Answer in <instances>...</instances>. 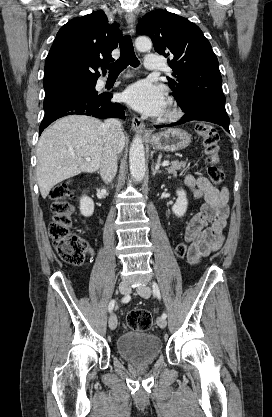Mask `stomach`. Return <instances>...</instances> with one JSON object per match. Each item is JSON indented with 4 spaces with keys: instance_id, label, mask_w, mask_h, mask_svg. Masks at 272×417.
Segmentation results:
<instances>
[{
    "instance_id": "obj_1",
    "label": "stomach",
    "mask_w": 272,
    "mask_h": 417,
    "mask_svg": "<svg viewBox=\"0 0 272 417\" xmlns=\"http://www.w3.org/2000/svg\"><path fill=\"white\" fill-rule=\"evenodd\" d=\"M149 142L156 150L175 152L186 148L191 142V136L183 129L169 128L152 135Z\"/></svg>"
}]
</instances>
